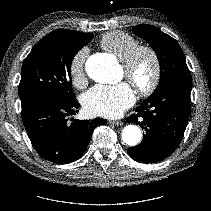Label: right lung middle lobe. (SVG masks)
Segmentation results:
<instances>
[{
	"label": "right lung middle lobe",
	"instance_id": "right-lung-middle-lobe-1",
	"mask_svg": "<svg viewBox=\"0 0 211 211\" xmlns=\"http://www.w3.org/2000/svg\"><path fill=\"white\" fill-rule=\"evenodd\" d=\"M93 35L72 30L51 32L42 38L24 60L19 84L21 106L42 98L75 99L71 64L76 53Z\"/></svg>",
	"mask_w": 211,
	"mask_h": 211
}]
</instances>
